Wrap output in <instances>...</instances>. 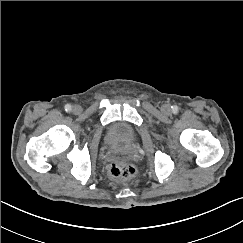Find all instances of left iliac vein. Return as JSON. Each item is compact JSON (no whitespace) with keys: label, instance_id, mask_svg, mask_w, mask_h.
Returning a JSON list of instances; mask_svg holds the SVG:
<instances>
[{"label":"left iliac vein","instance_id":"4c4485c4","mask_svg":"<svg viewBox=\"0 0 243 243\" xmlns=\"http://www.w3.org/2000/svg\"><path fill=\"white\" fill-rule=\"evenodd\" d=\"M161 110L163 113H170L171 111V106L169 104H164L162 107H161Z\"/></svg>","mask_w":243,"mask_h":243}]
</instances>
